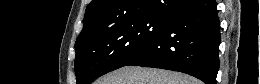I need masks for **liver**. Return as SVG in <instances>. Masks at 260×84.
<instances>
[{
	"label": "liver",
	"mask_w": 260,
	"mask_h": 84,
	"mask_svg": "<svg viewBox=\"0 0 260 84\" xmlns=\"http://www.w3.org/2000/svg\"><path fill=\"white\" fill-rule=\"evenodd\" d=\"M95 84H200V81L180 72L125 66L108 73Z\"/></svg>",
	"instance_id": "1"
}]
</instances>
